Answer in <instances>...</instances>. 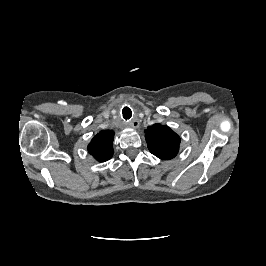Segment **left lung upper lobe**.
<instances>
[{"label":"left lung upper lobe","instance_id":"1","mask_svg":"<svg viewBox=\"0 0 266 266\" xmlns=\"http://www.w3.org/2000/svg\"><path fill=\"white\" fill-rule=\"evenodd\" d=\"M150 152L164 160L172 159L179 151L180 137L168 126L154 124L145 131Z\"/></svg>","mask_w":266,"mask_h":266}]
</instances>
